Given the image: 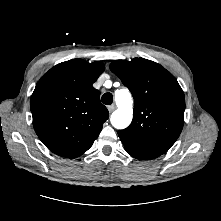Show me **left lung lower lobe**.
I'll return each instance as SVG.
<instances>
[{
  "mask_svg": "<svg viewBox=\"0 0 221 221\" xmlns=\"http://www.w3.org/2000/svg\"><path fill=\"white\" fill-rule=\"evenodd\" d=\"M125 150H126L131 156L135 157L136 159L144 160V159H141V158L137 157L136 155L132 154V153L129 152L126 148H125Z\"/></svg>",
  "mask_w": 221,
  "mask_h": 221,
  "instance_id": "obj_1",
  "label": "left lung lower lobe"
}]
</instances>
